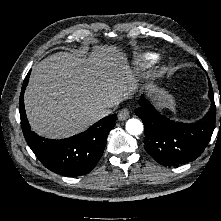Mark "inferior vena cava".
I'll list each match as a JSON object with an SVG mask.
<instances>
[{
  "instance_id": "inferior-vena-cava-1",
  "label": "inferior vena cava",
  "mask_w": 221,
  "mask_h": 221,
  "mask_svg": "<svg viewBox=\"0 0 221 221\" xmlns=\"http://www.w3.org/2000/svg\"><path fill=\"white\" fill-rule=\"evenodd\" d=\"M111 113H112L111 109L101 106V107H98L97 109L94 110L93 116L97 119H100L105 116H108Z\"/></svg>"
}]
</instances>
